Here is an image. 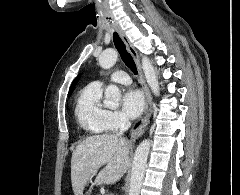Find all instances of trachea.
<instances>
[{"label": "trachea", "instance_id": "trachea-1", "mask_svg": "<svg viewBox=\"0 0 240 195\" xmlns=\"http://www.w3.org/2000/svg\"><path fill=\"white\" fill-rule=\"evenodd\" d=\"M113 41L125 65H127V67L130 68V70L135 75H137L138 72H137V67L135 65V62L132 56L130 55V53H128V51L126 50V46L124 45V42L116 32H113Z\"/></svg>", "mask_w": 240, "mask_h": 195}]
</instances>
